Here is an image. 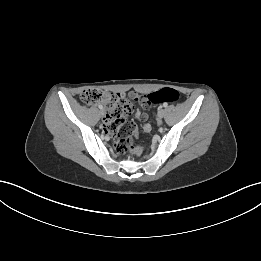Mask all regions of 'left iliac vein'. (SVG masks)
I'll list each match as a JSON object with an SVG mask.
<instances>
[{
    "mask_svg": "<svg viewBox=\"0 0 261 261\" xmlns=\"http://www.w3.org/2000/svg\"><path fill=\"white\" fill-rule=\"evenodd\" d=\"M164 114H165V110H164V109H160V110L158 111V116H159L160 118H163Z\"/></svg>",
    "mask_w": 261,
    "mask_h": 261,
    "instance_id": "1",
    "label": "left iliac vein"
}]
</instances>
